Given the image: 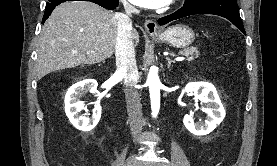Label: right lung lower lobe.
<instances>
[{
	"instance_id": "obj_1",
	"label": "right lung lower lobe",
	"mask_w": 277,
	"mask_h": 166,
	"mask_svg": "<svg viewBox=\"0 0 277 166\" xmlns=\"http://www.w3.org/2000/svg\"><path fill=\"white\" fill-rule=\"evenodd\" d=\"M48 1L49 2L47 3L42 23H44L45 20L48 18V16H50V14H51L52 10L55 8V6H57L58 4H60L62 2L72 1V0H48ZM85 1L94 2V3L104 7L106 9H109V10L115 9L119 3L118 0H85Z\"/></svg>"
}]
</instances>
